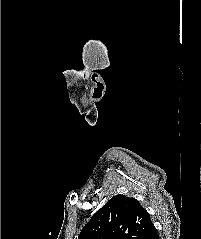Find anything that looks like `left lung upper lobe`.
Listing matches in <instances>:
<instances>
[{
	"label": "left lung upper lobe",
	"instance_id": "5c2ea615",
	"mask_svg": "<svg viewBox=\"0 0 201 239\" xmlns=\"http://www.w3.org/2000/svg\"><path fill=\"white\" fill-rule=\"evenodd\" d=\"M150 223L135 198L116 195L92 216L78 239H140Z\"/></svg>",
	"mask_w": 201,
	"mask_h": 239
}]
</instances>
